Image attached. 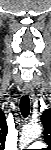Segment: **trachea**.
Instances as JSON below:
<instances>
[{
  "label": "trachea",
  "mask_w": 51,
  "mask_h": 150,
  "mask_svg": "<svg viewBox=\"0 0 51 150\" xmlns=\"http://www.w3.org/2000/svg\"><path fill=\"white\" fill-rule=\"evenodd\" d=\"M20 111L24 118L29 115L30 111V101L28 95H24L20 101Z\"/></svg>",
  "instance_id": "obj_1"
}]
</instances>
